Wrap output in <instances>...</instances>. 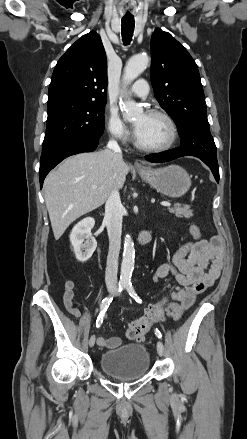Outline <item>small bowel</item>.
<instances>
[{
    "label": "small bowel",
    "mask_w": 247,
    "mask_h": 439,
    "mask_svg": "<svg viewBox=\"0 0 247 439\" xmlns=\"http://www.w3.org/2000/svg\"><path fill=\"white\" fill-rule=\"evenodd\" d=\"M223 252V241L218 236L208 240L188 241L177 249L170 263L158 267L154 275L155 281L171 275L182 286L169 295V316L179 319L198 295L214 285L223 267ZM73 297L74 283L67 281L63 287L64 304L68 312L78 319L80 311L73 306ZM121 343V338L114 336L98 339V344L105 348H115Z\"/></svg>",
    "instance_id": "small-bowel-1"
}]
</instances>
